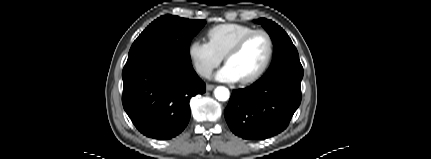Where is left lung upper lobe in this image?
<instances>
[{
    "label": "left lung upper lobe",
    "mask_w": 431,
    "mask_h": 159,
    "mask_svg": "<svg viewBox=\"0 0 431 159\" xmlns=\"http://www.w3.org/2000/svg\"><path fill=\"white\" fill-rule=\"evenodd\" d=\"M255 22L265 28L274 44L273 61L266 73L283 68L303 69L296 47L279 25L265 18L257 19Z\"/></svg>",
    "instance_id": "obj_1"
}]
</instances>
